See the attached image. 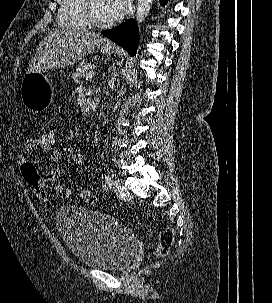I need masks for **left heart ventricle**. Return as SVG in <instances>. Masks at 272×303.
<instances>
[{
    "mask_svg": "<svg viewBox=\"0 0 272 303\" xmlns=\"http://www.w3.org/2000/svg\"><path fill=\"white\" fill-rule=\"evenodd\" d=\"M94 15L101 21H109L105 13V0H92Z\"/></svg>",
    "mask_w": 272,
    "mask_h": 303,
    "instance_id": "1",
    "label": "left heart ventricle"
}]
</instances>
